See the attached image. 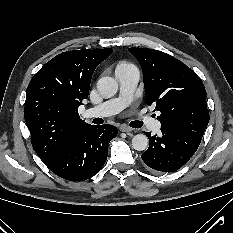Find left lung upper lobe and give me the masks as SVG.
Masks as SVG:
<instances>
[{"label":"left lung upper lobe","instance_id":"1","mask_svg":"<svg viewBox=\"0 0 233 233\" xmlns=\"http://www.w3.org/2000/svg\"><path fill=\"white\" fill-rule=\"evenodd\" d=\"M144 72L148 105L160 111L162 127L202 139L209 122L206 90L197 74L178 59L158 50L129 48Z\"/></svg>","mask_w":233,"mask_h":233}]
</instances>
